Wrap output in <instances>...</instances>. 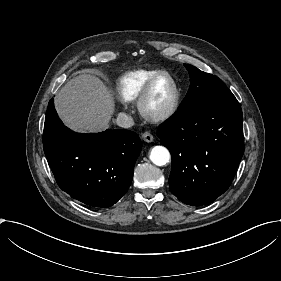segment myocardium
I'll use <instances>...</instances> for the list:
<instances>
[{
  "instance_id": "obj_1",
  "label": "myocardium",
  "mask_w": 281,
  "mask_h": 281,
  "mask_svg": "<svg viewBox=\"0 0 281 281\" xmlns=\"http://www.w3.org/2000/svg\"><path fill=\"white\" fill-rule=\"evenodd\" d=\"M163 79H168L171 82L173 87V95L166 109L160 112H153L149 109V103L152 99L156 85ZM179 97V87L174 76L168 72L161 73L152 78L141 93L137 103L138 111L145 120L151 122L166 121L175 114L179 103Z\"/></svg>"
}]
</instances>
